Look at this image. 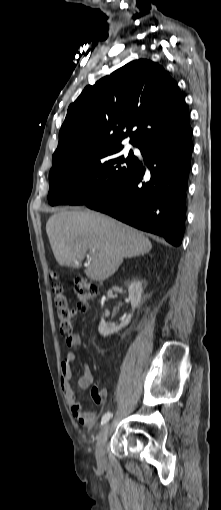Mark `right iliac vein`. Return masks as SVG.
<instances>
[{
	"mask_svg": "<svg viewBox=\"0 0 221 510\" xmlns=\"http://www.w3.org/2000/svg\"><path fill=\"white\" fill-rule=\"evenodd\" d=\"M109 433V424H105L98 437H97V444H96V459L98 464L102 465L104 463V455H105V445L107 442Z\"/></svg>",
	"mask_w": 221,
	"mask_h": 510,
	"instance_id": "63e3f726",
	"label": "right iliac vein"
}]
</instances>
